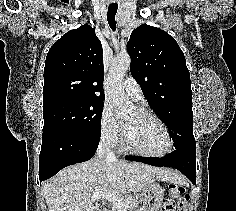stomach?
Returning a JSON list of instances; mask_svg holds the SVG:
<instances>
[{
  "instance_id": "stomach-1",
  "label": "stomach",
  "mask_w": 236,
  "mask_h": 211,
  "mask_svg": "<svg viewBox=\"0 0 236 211\" xmlns=\"http://www.w3.org/2000/svg\"><path fill=\"white\" fill-rule=\"evenodd\" d=\"M164 197L163 188L152 182L138 194V202L140 211H159Z\"/></svg>"
}]
</instances>
